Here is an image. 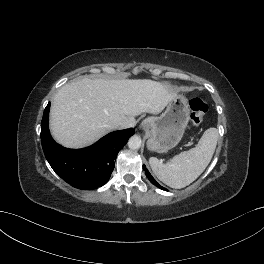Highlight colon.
<instances>
[{
  "label": "colon",
  "mask_w": 264,
  "mask_h": 264,
  "mask_svg": "<svg viewBox=\"0 0 264 264\" xmlns=\"http://www.w3.org/2000/svg\"><path fill=\"white\" fill-rule=\"evenodd\" d=\"M189 107L191 110L190 125L198 126L208 110V105L200 98H192L189 101Z\"/></svg>",
  "instance_id": "obj_1"
}]
</instances>
